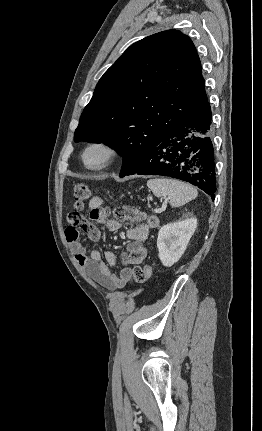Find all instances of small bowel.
Returning a JSON list of instances; mask_svg holds the SVG:
<instances>
[{"label":"small bowel","mask_w":262,"mask_h":431,"mask_svg":"<svg viewBox=\"0 0 262 431\" xmlns=\"http://www.w3.org/2000/svg\"><path fill=\"white\" fill-rule=\"evenodd\" d=\"M93 223H85L81 219L72 223L65 231L67 242L71 245L77 263L83 268L85 274L93 281L115 292L125 287L132 276L130 265L140 263L147 254L144 242L147 240L150 230L159 226L158 218L147 216L138 210L122 209L118 212L117 219L108 218L107 211L103 208V199L95 196L89 200ZM145 221V222H143ZM131 223L126 230L128 244L125 250L117 255L114 251L108 250L105 253L107 264L101 259L100 252L90 249L86 252L79 242L80 231L87 233L92 239L99 238V231L95 224L105 226L109 230H118L123 224ZM121 265L119 274L110 270Z\"/></svg>","instance_id":"c3829d8e"}]
</instances>
